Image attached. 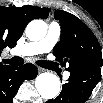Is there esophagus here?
Instances as JSON below:
<instances>
[{
	"mask_svg": "<svg viewBox=\"0 0 103 103\" xmlns=\"http://www.w3.org/2000/svg\"><path fill=\"white\" fill-rule=\"evenodd\" d=\"M37 70H38V72H39V73H41V72H43V71H44V69H43V68H41V67H39V66H37Z\"/></svg>",
	"mask_w": 103,
	"mask_h": 103,
	"instance_id": "1",
	"label": "esophagus"
}]
</instances>
